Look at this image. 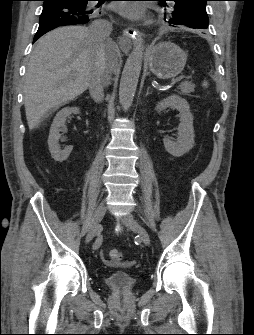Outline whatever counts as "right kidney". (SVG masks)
Returning <instances> with one entry per match:
<instances>
[{
  "instance_id": "right-kidney-1",
  "label": "right kidney",
  "mask_w": 254,
  "mask_h": 335,
  "mask_svg": "<svg viewBox=\"0 0 254 335\" xmlns=\"http://www.w3.org/2000/svg\"><path fill=\"white\" fill-rule=\"evenodd\" d=\"M77 113H80L79 108L66 107L60 110L53 120L48 137V146L52 158L57 162L65 161L69 157L73 149V146H67L65 149L61 150L58 144V140L61 137L59 132L65 126L66 118L69 117L71 114Z\"/></svg>"
}]
</instances>
